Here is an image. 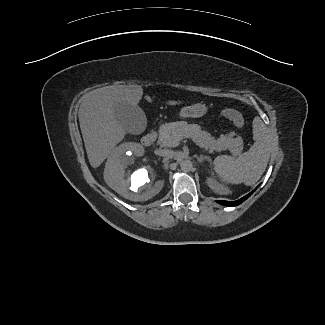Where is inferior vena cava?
<instances>
[{"mask_svg": "<svg viewBox=\"0 0 325 325\" xmlns=\"http://www.w3.org/2000/svg\"><path fill=\"white\" fill-rule=\"evenodd\" d=\"M157 153H158V155L165 156V157H171L174 155V152L169 149H160V150H158Z\"/></svg>", "mask_w": 325, "mask_h": 325, "instance_id": "1", "label": "inferior vena cava"}]
</instances>
